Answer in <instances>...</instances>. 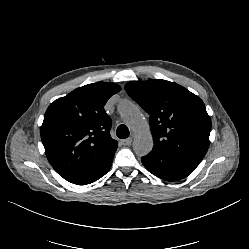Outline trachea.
I'll use <instances>...</instances> for the list:
<instances>
[{
  "mask_svg": "<svg viewBox=\"0 0 249 249\" xmlns=\"http://www.w3.org/2000/svg\"><path fill=\"white\" fill-rule=\"evenodd\" d=\"M130 132L127 128L126 125L124 124H121L117 127V136L120 138V139H125L129 136Z\"/></svg>",
  "mask_w": 249,
  "mask_h": 249,
  "instance_id": "3493384b",
  "label": "trachea"
}]
</instances>
